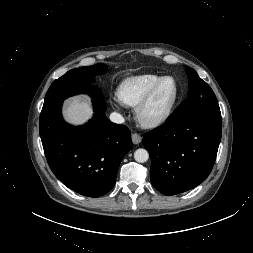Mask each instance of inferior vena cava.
Returning <instances> with one entry per match:
<instances>
[{"label": "inferior vena cava", "mask_w": 253, "mask_h": 253, "mask_svg": "<svg viewBox=\"0 0 253 253\" xmlns=\"http://www.w3.org/2000/svg\"><path fill=\"white\" fill-rule=\"evenodd\" d=\"M110 120L114 123H117V124H122L125 121L123 116L119 113H116V112H113L110 114Z\"/></svg>", "instance_id": "obj_1"}]
</instances>
